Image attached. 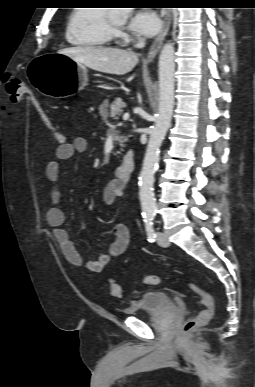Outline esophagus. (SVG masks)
I'll return each instance as SVG.
<instances>
[{
  "instance_id": "esophagus-1",
  "label": "esophagus",
  "mask_w": 255,
  "mask_h": 387,
  "mask_svg": "<svg viewBox=\"0 0 255 387\" xmlns=\"http://www.w3.org/2000/svg\"><path fill=\"white\" fill-rule=\"evenodd\" d=\"M164 13H165V16L163 20L162 29L149 49V52L146 58V63H150L151 61H153V59L155 58V56L157 55L158 51L160 50L163 44L165 36L169 31L171 20H172V12L170 9H166L164 10Z\"/></svg>"
}]
</instances>
